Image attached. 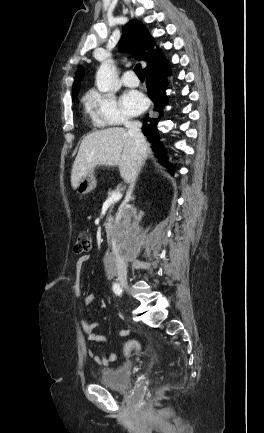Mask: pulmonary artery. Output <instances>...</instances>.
<instances>
[{
  "label": "pulmonary artery",
  "mask_w": 264,
  "mask_h": 433,
  "mask_svg": "<svg viewBox=\"0 0 264 433\" xmlns=\"http://www.w3.org/2000/svg\"><path fill=\"white\" fill-rule=\"evenodd\" d=\"M122 82L127 87H136L139 84L138 78L132 70H127L122 76Z\"/></svg>",
  "instance_id": "e3ab8cb5"
}]
</instances>
